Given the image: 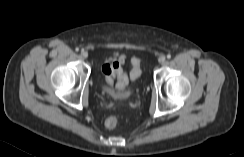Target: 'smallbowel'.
<instances>
[{
	"instance_id": "c3829d8e",
	"label": "small bowel",
	"mask_w": 244,
	"mask_h": 157,
	"mask_svg": "<svg viewBox=\"0 0 244 157\" xmlns=\"http://www.w3.org/2000/svg\"><path fill=\"white\" fill-rule=\"evenodd\" d=\"M113 62L118 63L120 65H123L126 62V56L125 55H117L113 58H109L105 61V64L113 63Z\"/></svg>"
}]
</instances>
